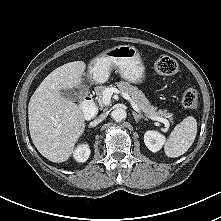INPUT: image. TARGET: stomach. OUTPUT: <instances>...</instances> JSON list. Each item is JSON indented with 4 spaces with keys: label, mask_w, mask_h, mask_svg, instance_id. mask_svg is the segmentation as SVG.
<instances>
[{
    "label": "stomach",
    "mask_w": 221,
    "mask_h": 221,
    "mask_svg": "<svg viewBox=\"0 0 221 221\" xmlns=\"http://www.w3.org/2000/svg\"><path fill=\"white\" fill-rule=\"evenodd\" d=\"M115 68L122 78L132 83H142L145 79V66L134 46L119 45L102 52L88 66V77L96 83H105Z\"/></svg>",
    "instance_id": "0dacf381"
}]
</instances>
